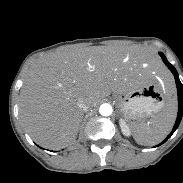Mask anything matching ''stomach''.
Wrapping results in <instances>:
<instances>
[{"label": "stomach", "mask_w": 183, "mask_h": 183, "mask_svg": "<svg viewBox=\"0 0 183 183\" xmlns=\"http://www.w3.org/2000/svg\"><path fill=\"white\" fill-rule=\"evenodd\" d=\"M133 82L118 96L119 106L125 117L139 120L158 113L168 99V93L158 82L151 65L133 67Z\"/></svg>", "instance_id": "obj_1"}]
</instances>
